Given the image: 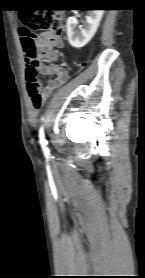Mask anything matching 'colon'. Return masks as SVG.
Listing matches in <instances>:
<instances>
[{
  "label": "colon",
  "mask_w": 145,
  "mask_h": 278,
  "mask_svg": "<svg viewBox=\"0 0 145 278\" xmlns=\"http://www.w3.org/2000/svg\"><path fill=\"white\" fill-rule=\"evenodd\" d=\"M22 26L18 29L20 42L25 59L29 62L26 68L25 80L30 103L33 109L40 110L43 105V94L40 92V83L36 66L40 61L54 62L57 52L51 45H40L36 33H61L64 31L61 16L40 11H25L20 16Z\"/></svg>",
  "instance_id": "obj_1"
}]
</instances>
